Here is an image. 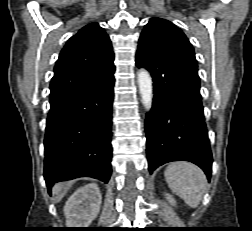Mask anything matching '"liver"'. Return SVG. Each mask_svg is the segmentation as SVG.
Instances as JSON below:
<instances>
[{
    "label": "liver",
    "instance_id": "liver-1",
    "mask_svg": "<svg viewBox=\"0 0 252 231\" xmlns=\"http://www.w3.org/2000/svg\"><path fill=\"white\" fill-rule=\"evenodd\" d=\"M70 188H71L70 183H58L53 187L52 191L54 194L58 196V200H60L61 196L65 192H67Z\"/></svg>",
    "mask_w": 252,
    "mask_h": 231
}]
</instances>
